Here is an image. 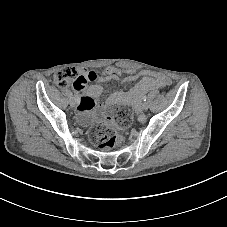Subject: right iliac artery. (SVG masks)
Listing matches in <instances>:
<instances>
[{
    "label": "right iliac artery",
    "mask_w": 227,
    "mask_h": 227,
    "mask_svg": "<svg viewBox=\"0 0 227 227\" xmlns=\"http://www.w3.org/2000/svg\"><path fill=\"white\" fill-rule=\"evenodd\" d=\"M75 95V101L78 103V104H80V98L78 97V95L75 93L74 94Z\"/></svg>",
    "instance_id": "82829eb1"
}]
</instances>
